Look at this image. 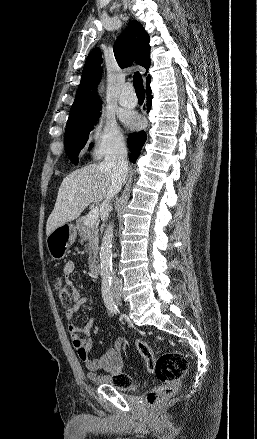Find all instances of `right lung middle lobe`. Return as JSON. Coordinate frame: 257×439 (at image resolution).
I'll list each match as a JSON object with an SVG mask.
<instances>
[{"label": "right lung middle lobe", "instance_id": "dd1d6c3e", "mask_svg": "<svg viewBox=\"0 0 257 439\" xmlns=\"http://www.w3.org/2000/svg\"><path fill=\"white\" fill-rule=\"evenodd\" d=\"M100 115L99 110L89 115L67 121L64 140L67 154L72 163L77 164L79 162L78 154L85 146L89 133L93 130V126L96 125ZM92 146L93 143L89 145V149H91Z\"/></svg>", "mask_w": 257, "mask_h": 439}]
</instances>
